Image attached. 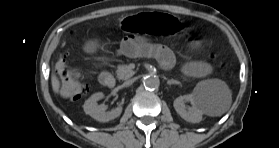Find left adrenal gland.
<instances>
[{
  "instance_id": "1",
  "label": "left adrenal gland",
  "mask_w": 279,
  "mask_h": 148,
  "mask_svg": "<svg viewBox=\"0 0 279 148\" xmlns=\"http://www.w3.org/2000/svg\"><path fill=\"white\" fill-rule=\"evenodd\" d=\"M165 80L167 81L168 85H172V84L181 85V83L179 81L174 80V79H167V78H165Z\"/></svg>"
}]
</instances>
